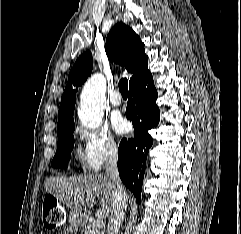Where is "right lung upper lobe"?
<instances>
[{"label":"right lung upper lobe","mask_w":241,"mask_h":234,"mask_svg":"<svg viewBox=\"0 0 241 234\" xmlns=\"http://www.w3.org/2000/svg\"><path fill=\"white\" fill-rule=\"evenodd\" d=\"M105 50L111 62L119 63L133 74L129 81V87L150 73L144 43L124 23H117L111 29L106 39ZM92 68L93 59L89 51L79 56L72 67L68 76L67 86L61 98L57 131L74 126L73 112L76 91L91 74ZM73 88H76V90Z\"/></svg>","instance_id":"cb5924a9"}]
</instances>
